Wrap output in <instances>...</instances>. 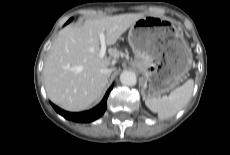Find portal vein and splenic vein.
<instances>
[{"instance_id": "1", "label": "portal vein and splenic vein", "mask_w": 230, "mask_h": 155, "mask_svg": "<svg viewBox=\"0 0 230 155\" xmlns=\"http://www.w3.org/2000/svg\"><path fill=\"white\" fill-rule=\"evenodd\" d=\"M99 38H100V43H101V48H100V52H99V57L100 58H103L106 54V38H105V35L103 33H101L99 35Z\"/></svg>"}]
</instances>
